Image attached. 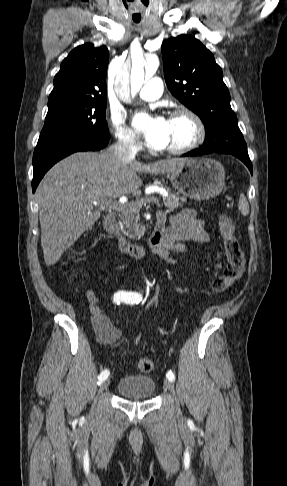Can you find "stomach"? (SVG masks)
<instances>
[{"label":"stomach","mask_w":287,"mask_h":486,"mask_svg":"<svg viewBox=\"0 0 287 486\" xmlns=\"http://www.w3.org/2000/svg\"><path fill=\"white\" fill-rule=\"evenodd\" d=\"M167 177L178 193L199 201L216 197L225 186L222 164L205 157L186 159Z\"/></svg>","instance_id":"0dacf381"}]
</instances>
